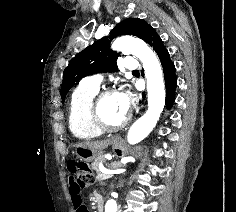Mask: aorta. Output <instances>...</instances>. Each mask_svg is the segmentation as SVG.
I'll return each instance as SVG.
<instances>
[{
	"label": "aorta",
	"mask_w": 236,
	"mask_h": 212,
	"mask_svg": "<svg viewBox=\"0 0 236 212\" xmlns=\"http://www.w3.org/2000/svg\"><path fill=\"white\" fill-rule=\"evenodd\" d=\"M112 48L123 53H131L143 64L147 81L148 110L136 120L127 134L129 144H136L143 140L155 127L165 104V86L161 65L155 53L141 39L131 36L118 37ZM117 201L110 198L105 204V212H117Z\"/></svg>",
	"instance_id": "1"
}]
</instances>
